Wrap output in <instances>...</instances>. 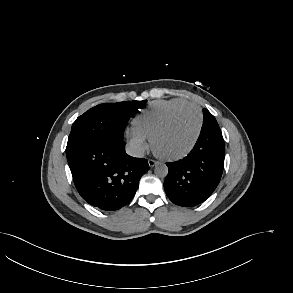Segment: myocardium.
<instances>
[{"mask_svg":"<svg viewBox=\"0 0 293 293\" xmlns=\"http://www.w3.org/2000/svg\"><path fill=\"white\" fill-rule=\"evenodd\" d=\"M187 108H193L197 111L198 116H199V124H198V129L197 132L192 140V142L190 143V145L183 150L182 152L178 153V154H174V155H166L163 154L161 152H159L156 149V141L159 138V136L169 127V125L171 124V122L174 120V118L183 110L187 109ZM203 124H204V115L202 112V109L194 104V103H188L182 106H179L178 108H176L175 110H173L166 118L165 120L161 123V125L155 130V132L153 133V135L151 136V145L152 148L154 150V152L162 159L167 160V161H178L181 160L183 158H185L186 156H188L192 150L195 148L201 133H202V129H203Z\"/></svg>","mask_w":293,"mask_h":293,"instance_id":"obj_1","label":"myocardium"}]
</instances>
